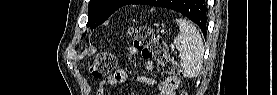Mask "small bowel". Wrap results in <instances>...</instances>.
I'll list each match as a JSON object with an SVG mask.
<instances>
[{
    "instance_id": "obj_1",
    "label": "small bowel",
    "mask_w": 277,
    "mask_h": 95,
    "mask_svg": "<svg viewBox=\"0 0 277 95\" xmlns=\"http://www.w3.org/2000/svg\"><path fill=\"white\" fill-rule=\"evenodd\" d=\"M128 54L132 57H141L144 60L145 68L148 72L154 73L156 70V64L153 60L146 58L143 54H140L135 48L129 47L127 49ZM127 74L123 69H118L112 75L107 76L104 80L100 81L97 87V94L106 95V85H116L126 81ZM145 81L149 80L148 76H144ZM178 79L176 76H167L164 81L160 84L159 94L160 95H175V89L177 86Z\"/></svg>"
}]
</instances>
